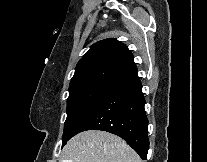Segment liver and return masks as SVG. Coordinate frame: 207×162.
Segmentation results:
<instances>
[{
    "mask_svg": "<svg viewBox=\"0 0 207 162\" xmlns=\"http://www.w3.org/2000/svg\"><path fill=\"white\" fill-rule=\"evenodd\" d=\"M143 162L120 137L106 131H84L63 149L61 162Z\"/></svg>",
    "mask_w": 207,
    "mask_h": 162,
    "instance_id": "1",
    "label": "liver"
}]
</instances>
